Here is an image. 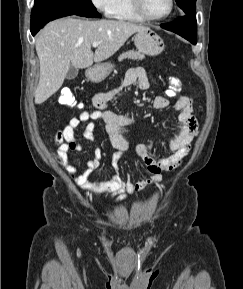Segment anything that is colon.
<instances>
[{"label": "colon", "mask_w": 243, "mask_h": 289, "mask_svg": "<svg viewBox=\"0 0 243 289\" xmlns=\"http://www.w3.org/2000/svg\"><path fill=\"white\" fill-rule=\"evenodd\" d=\"M168 82H169V88L167 90V94L171 97L175 96L177 93L180 92L182 88V83L180 79L177 77H170ZM59 103L65 106L75 105L76 103L75 96L69 88H63L60 91Z\"/></svg>", "instance_id": "obj_1"}]
</instances>
